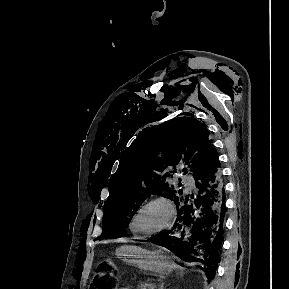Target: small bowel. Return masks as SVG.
<instances>
[{
  "label": "small bowel",
  "instance_id": "small-bowel-1",
  "mask_svg": "<svg viewBox=\"0 0 289 289\" xmlns=\"http://www.w3.org/2000/svg\"><path fill=\"white\" fill-rule=\"evenodd\" d=\"M121 289H129V288H121Z\"/></svg>",
  "mask_w": 289,
  "mask_h": 289
}]
</instances>
